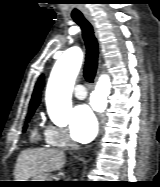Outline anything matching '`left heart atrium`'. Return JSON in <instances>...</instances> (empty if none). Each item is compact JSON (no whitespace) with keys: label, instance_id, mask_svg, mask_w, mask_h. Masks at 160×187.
Returning a JSON list of instances; mask_svg holds the SVG:
<instances>
[{"label":"left heart atrium","instance_id":"obj_1","mask_svg":"<svg viewBox=\"0 0 160 187\" xmlns=\"http://www.w3.org/2000/svg\"><path fill=\"white\" fill-rule=\"evenodd\" d=\"M70 132L74 140L81 143H87L95 137L97 121L89 106L80 105L74 109Z\"/></svg>","mask_w":160,"mask_h":187}]
</instances>
